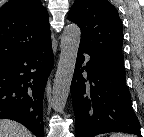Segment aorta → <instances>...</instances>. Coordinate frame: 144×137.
Returning a JSON list of instances; mask_svg holds the SVG:
<instances>
[{
    "label": "aorta",
    "mask_w": 144,
    "mask_h": 137,
    "mask_svg": "<svg viewBox=\"0 0 144 137\" xmlns=\"http://www.w3.org/2000/svg\"><path fill=\"white\" fill-rule=\"evenodd\" d=\"M81 30L78 25L68 24L61 37V52L54 78L52 99L57 111H63L69 96L80 45Z\"/></svg>",
    "instance_id": "obj_1"
}]
</instances>
